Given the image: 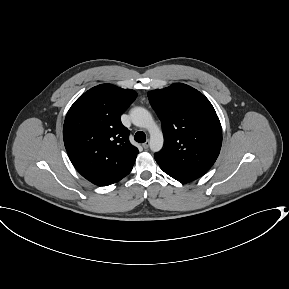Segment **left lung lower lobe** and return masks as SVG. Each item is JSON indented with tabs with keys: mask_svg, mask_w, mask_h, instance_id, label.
Here are the masks:
<instances>
[{
	"mask_svg": "<svg viewBox=\"0 0 289 289\" xmlns=\"http://www.w3.org/2000/svg\"><path fill=\"white\" fill-rule=\"evenodd\" d=\"M174 179L178 180L179 182L185 183V182H191L195 179H184V178H179V177H173Z\"/></svg>",
	"mask_w": 289,
	"mask_h": 289,
	"instance_id": "0a47b994",
	"label": "left lung lower lobe"
}]
</instances>
